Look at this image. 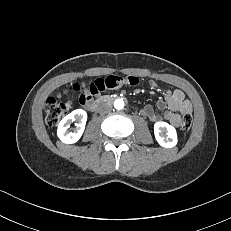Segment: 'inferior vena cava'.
<instances>
[{
	"mask_svg": "<svg viewBox=\"0 0 231 231\" xmlns=\"http://www.w3.org/2000/svg\"><path fill=\"white\" fill-rule=\"evenodd\" d=\"M111 109H112L111 103L106 101L100 102L97 108L98 112L101 114L108 113L111 111Z\"/></svg>",
	"mask_w": 231,
	"mask_h": 231,
	"instance_id": "obj_1",
	"label": "inferior vena cava"
}]
</instances>
